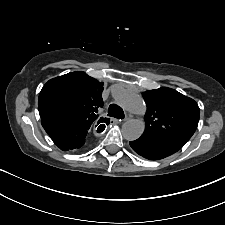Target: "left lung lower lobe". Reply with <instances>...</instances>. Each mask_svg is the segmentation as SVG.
<instances>
[{"instance_id":"0a47b994","label":"left lung lower lobe","mask_w":225,"mask_h":225,"mask_svg":"<svg viewBox=\"0 0 225 225\" xmlns=\"http://www.w3.org/2000/svg\"><path fill=\"white\" fill-rule=\"evenodd\" d=\"M186 142L179 139H158L141 135L129 144L140 156L149 160H160L180 150Z\"/></svg>"}]
</instances>
